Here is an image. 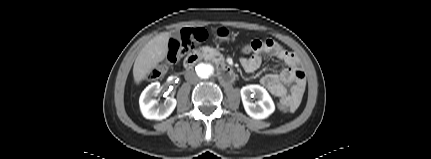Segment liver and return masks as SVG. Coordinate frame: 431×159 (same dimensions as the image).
Segmentation results:
<instances>
[{
    "label": "liver",
    "mask_w": 431,
    "mask_h": 159,
    "mask_svg": "<svg viewBox=\"0 0 431 159\" xmlns=\"http://www.w3.org/2000/svg\"><path fill=\"white\" fill-rule=\"evenodd\" d=\"M169 32H163L151 39L138 54L134 66L133 76L136 84L142 82L148 73L162 62L168 53Z\"/></svg>",
    "instance_id": "liver-1"
}]
</instances>
